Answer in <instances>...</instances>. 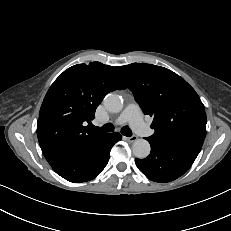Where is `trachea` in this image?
I'll return each instance as SVG.
<instances>
[{"label": "trachea", "mask_w": 231, "mask_h": 231, "mask_svg": "<svg viewBox=\"0 0 231 231\" xmlns=\"http://www.w3.org/2000/svg\"><path fill=\"white\" fill-rule=\"evenodd\" d=\"M94 130L100 131V132H112L114 131V126L111 123H107L105 125H103L102 127H95L93 126ZM121 133L124 136L130 137L132 136V131L128 126H124L121 128Z\"/></svg>", "instance_id": "trachea-1"}]
</instances>
